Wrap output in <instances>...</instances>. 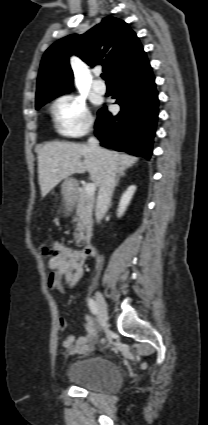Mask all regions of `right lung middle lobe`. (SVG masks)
<instances>
[{
    "mask_svg": "<svg viewBox=\"0 0 208 425\" xmlns=\"http://www.w3.org/2000/svg\"><path fill=\"white\" fill-rule=\"evenodd\" d=\"M64 93H52L49 94L47 96H44L37 104H36V109L41 108L43 105H45L46 103H48L49 101H51L52 99L62 95Z\"/></svg>",
    "mask_w": 208,
    "mask_h": 425,
    "instance_id": "right-lung-middle-lobe-1",
    "label": "right lung middle lobe"
}]
</instances>
